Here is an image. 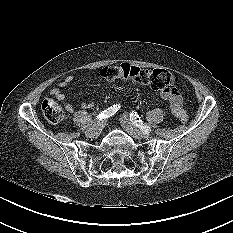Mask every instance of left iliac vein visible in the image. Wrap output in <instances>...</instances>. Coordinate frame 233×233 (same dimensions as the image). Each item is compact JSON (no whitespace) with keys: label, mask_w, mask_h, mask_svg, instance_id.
Listing matches in <instances>:
<instances>
[{"label":"left iliac vein","mask_w":233,"mask_h":233,"mask_svg":"<svg viewBox=\"0 0 233 233\" xmlns=\"http://www.w3.org/2000/svg\"><path fill=\"white\" fill-rule=\"evenodd\" d=\"M120 122L122 127L134 138L136 139H143L149 136V133L144 132L137 128L128 118V116L122 115L120 118Z\"/></svg>","instance_id":"1"}]
</instances>
